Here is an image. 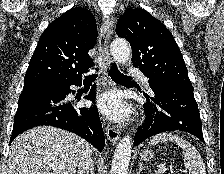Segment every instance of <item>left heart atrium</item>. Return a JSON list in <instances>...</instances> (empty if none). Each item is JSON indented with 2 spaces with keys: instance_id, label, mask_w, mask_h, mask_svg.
<instances>
[{
  "instance_id": "1",
  "label": "left heart atrium",
  "mask_w": 224,
  "mask_h": 174,
  "mask_svg": "<svg viewBox=\"0 0 224 174\" xmlns=\"http://www.w3.org/2000/svg\"><path fill=\"white\" fill-rule=\"evenodd\" d=\"M101 112L108 118L122 121L129 117L130 108L116 92H106L97 101Z\"/></svg>"
}]
</instances>
